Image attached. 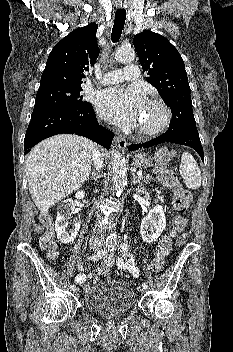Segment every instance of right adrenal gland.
Returning <instances> with one entry per match:
<instances>
[{"mask_svg":"<svg viewBox=\"0 0 233 352\" xmlns=\"http://www.w3.org/2000/svg\"><path fill=\"white\" fill-rule=\"evenodd\" d=\"M92 178L95 182H97L98 178H99V172H95L93 171L88 177H87V181Z\"/></svg>","mask_w":233,"mask_h":352,"instance_id":"1","label":"right adrenal gland"}]
</instances>
